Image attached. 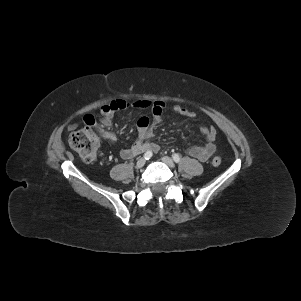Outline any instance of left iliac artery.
Masks as SVG:
<instances>
[{
	"label": "left iliac artery",
	"mask_w": 301,
	"mask_h": 301,
	"mask_svg": "<svg viewBox=\"0 0 301 301\" xmlns=\"http://www.w3.org/2000/svg\"><path fill=\"white\" fill-rule=\"evenodd\" d=\"M172 158L176 163H178L180 161V156L176 153L172 155Z\"/></svg>",
	"instance_id": "1"
}]
</instances>
